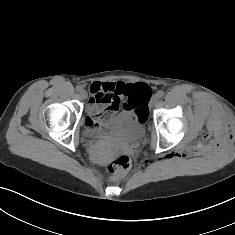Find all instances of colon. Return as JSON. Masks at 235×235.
Wrapping results in <instances>:
<instances>
[{
    "instance_id": "5ec220e1",
    "label": "colon",
    "mask_w": 235,
    "mask_h": 235,
    "mask_svg": "<svg viewBox=\"0 0 235 235\" xmlns=\"http://www.w3.org/2000/svg\"><path fill=\"white\" fill-rule=\"evenodd\" d=\"M150 94V87L143 83H137L130 86L127 90V100L125 105L133 110L137 115L145 120L148 116L146 100ZM112 119V113L109 109H104L97 114L87 117L86 122L92 127H99L108 123ZM131 161L125 153L117 154L108 164V172L111 181H118L123 178L129 171Z\"/></svg>"
}]
</instances>
